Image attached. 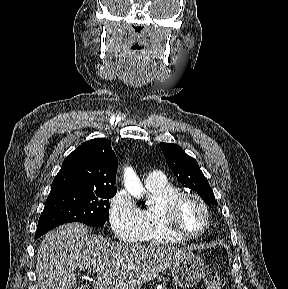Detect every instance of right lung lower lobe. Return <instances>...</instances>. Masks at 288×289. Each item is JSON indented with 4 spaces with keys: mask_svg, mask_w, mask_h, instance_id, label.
<instances>
[{
    "mask_svg": "<svg viewBox=\"0 0 288 289\" xmlns=\"http://www.w3.org/2000/svg\"><path fill=\"white\" fill-rule=\"evenodd\" d=\"M38 237H40L39 235H35V238H38Z\"/></svg>",
    "mask_w": 288,
    "mask_h": 289,
    "instance_id": "obj_1",
    "label": "right lung lower lobe"
}]
</instances>
